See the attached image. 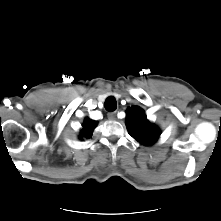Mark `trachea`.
Returning a JSON list of instances; mask_svg holds the SVG:
<instances>
[{
	"label": "trachea",
	"mask_w": 221,
	"mask_h": 221,
	"mask_svg": "<svg viewBox=\"0 0 221 221\" xmlns=\"http://www.w3.org/2000/svg\"><path fill=\"white\" fill-rule=\"evenodd\" d=\"M105 109L109 112H113L117 108L116 99L113 96L108 97L104 103Z\"/></svg>",
	"instance_id": "obj_1"
}]
</instances>
